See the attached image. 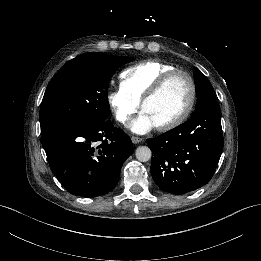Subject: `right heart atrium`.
<instances>
[{
  "instance_id": "right-heart-atrium-1",
  "label": "right heart atrium",
  "mask_w": 261,
  "mask_h": 261,
  "mask_svg": "<svg viewBox=\"0 0 261 261\" xmlns=\"http://www.w3.org/2000/svg\"><path fill=\"white\" fill-rule=\"evenodd\" d=\"M106 99L116 120L122 125H128L140 107V103L121 88L110 90L107 93Z\"/></svg>"
}]
</instances>
